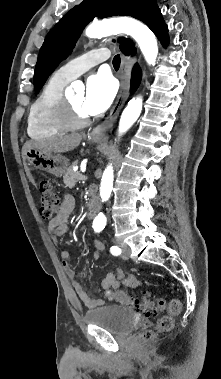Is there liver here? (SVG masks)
<instances>
[{"instance_id": "1", "label": "liver", "mask_w": 221, "mask_h": 379, "mask_svg": "<svg viewBox=\"0 0 221 379\" xmlns=\"http://www.w3.org/2000/svg\"><path fill=\"white\" fill-rule=\"evenodd\" d=\"M81 134H70L59 137H52L46 140H30L27 141L22 147V156L25 162L26 152L30 149H36L45 153H64L75 149L81 142ZM30 177V174L28 173ZM31 178V177H30Z\"/></svg>"}]
</instances>
